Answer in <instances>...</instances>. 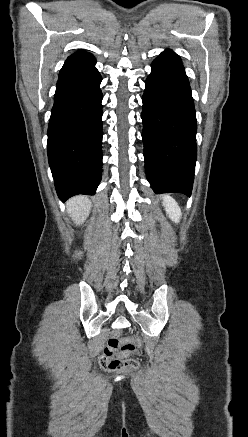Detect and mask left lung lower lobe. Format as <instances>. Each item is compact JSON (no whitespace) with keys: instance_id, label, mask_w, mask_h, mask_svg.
<instances>
[{"instance_id":"0a47b994","label":"left lung lower lobe","mask_w":248,"mask_h":437,"mask_svg":"<svg viewBox=\"0 0 248 437\" xmlns=\"http://www.w3.org/2000/svg\"><path fill=\"white\" fill-rule=\"evenodd\" d=\"M142 101L146 176L155 193L191 195L196 146V114L183 64L156 58Z\"/></svg>"}]
</instances>
